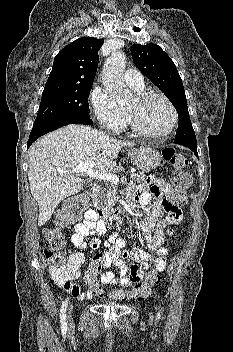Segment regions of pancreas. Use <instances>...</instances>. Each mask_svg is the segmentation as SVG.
I'll return each instance as SVG.
<instances>
[{
    "label": "pancreas",
    "mask_w": 233,
    "mask_h": 352,
    "mask_svg": "<svg viewBox=\"0 0 233 352\" xmlns=\"http://www.w3.org/2000/svg\"><path fill=\"white\" fill-rule=\"evenodd\" d=\"M145 180L144 173H135L132 174V181L140 183ZM119 199L117 196V187L113 184H107L106 187H103L95 198L94 205L102 210L111 209L116 201Z\"/></svg>",
    "instance_id": "obj_1"
}]
</instances>
